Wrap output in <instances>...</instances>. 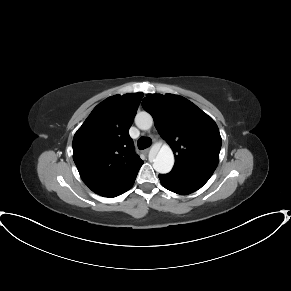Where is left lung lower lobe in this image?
I'll list each match as a JSON object with an SVG mask.
<instances>
[{
  "label": "left lung lower lobe",
  "instance_id": "0a47b994",
  "mask_svg": "<svg viewBox=\"0 0 291 291\" xmlns=\"http://www.w3.org/2000/svg\"><path fill=\"white\" fill-rule=\"evenodd\" d=\"M159 179L163 187L181 195L198 190L208 181L206 178L187 176L175 172L159 174Z\"/></svg>",
  "mask_w": 291,
  "mask_h": 291
}]
</instances>
